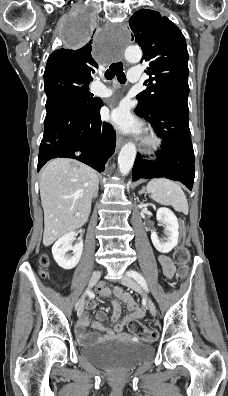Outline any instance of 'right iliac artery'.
I'll use <instances>...</instances> for the list:
<instances>
[{
	"label": "right iliac artery",
	"instance_id": "82829eb1",
	"mask_svg": "<svg viewBox=\"0 0 228 396\" xmlns=\"http://www.w3.org/2000/svg\"><path fill=\"white\" fill-rule=\"evenodd\" d=\"M78 304H79V301H78V303L76 304V308H77Z\"/></svg>",
	"mask_w": 228,
	"mask_h": 396
}]
</instances>
